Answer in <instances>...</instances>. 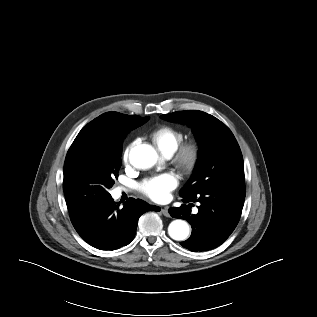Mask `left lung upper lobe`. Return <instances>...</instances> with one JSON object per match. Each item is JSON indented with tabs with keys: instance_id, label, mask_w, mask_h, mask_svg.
Listing matches in <instances>:
<instances>
[{
	"instance_id": "left-lung-upper-lobe-1",
	"label": "left lung upper lobe",
	"mask_w": 317,
	"mask_h": 317,
	"mask_svg": "<svg viewBox=\"0 0 317 317\" xmlns=\"http://www.w3.org/2000/svg\"><path fill=\"white\" fill-rule=\"evenodd\" d=\"M169 121L190 126L199 142V158L180 196L198 195L217 185H244V163L240 147L230 129L214 116L198 110L162 115Z\"/></svg>"
}]
</instances>
